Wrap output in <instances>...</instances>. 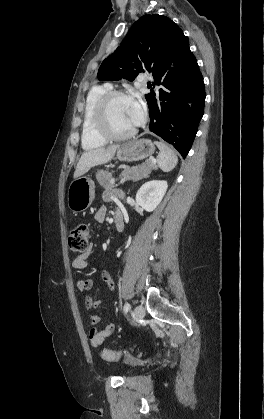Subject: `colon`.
Segmentation results:
<instances>
[{
  "label": "colon",
  "mask_w": 264,
  "mask_h": 419,
  "mask_svg": "<svg viewBox=\"0 0 264 419\" xmlns=\"http://www.w3.org/2000/svg\"><path fill=\"white\" fill-rule=\"evenodd\" d=\"M89 244V228L86 224H79L75 226L69 233L68 245L74 252L83 253L87 250ZM123 353L128 355H134V351L129 349L127 351H110L102 350L100 355L106 361H116ZM140 356V354H137Z\"/></svg>",
  "instance_id": "1"
}]
</instances>
